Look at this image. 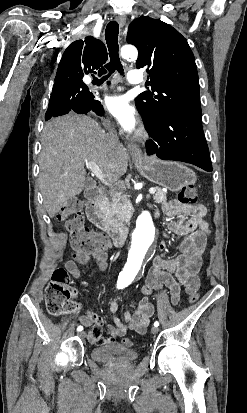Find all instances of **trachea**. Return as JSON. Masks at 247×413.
<instances>
[{"label": "trachea", "mask_w": 247, "mask_h": 413, "mask_svg": "<svg viewBox=\"0 0 247 413\" xmlns=\"http://www.w3.org/2000/svg\"><path fill=\"white\" fill-rule=\"evenodd\" d=\"M118 34V23L115 21L108 23L105 31V38L109 50L110 62L107 63L105 67L109 73L103 76L101 80H107L115 70H118L120 74L123 75V68L119 58Z\"/></svg>", "instance_id": "obj_1"}]
</instances>
